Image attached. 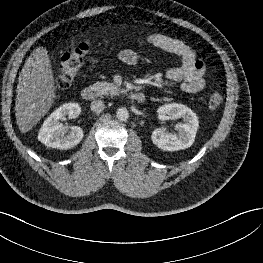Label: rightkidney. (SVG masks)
<instances>
[{
	"instance_id": "right-kidney-1",
	"label": "right kidney",
	"mask_w": 263,
	"mask_h": 263,
	"mask_svg": "<svg viewBox=\"0 0 263 263\" xmlns=\"http://www.w3.org/2000/svg\"><path fill=\"white\" fill-rule=\"evenodd\" d=\"M81 112L78 103H66L57 108L44 121L38 134V140L47 147L66 150L78 145L83 136V130L78 126L67 127L61 123L66 117L76 118ZM68 132V134H66Z\"/></svg>"
}]
</instances>
